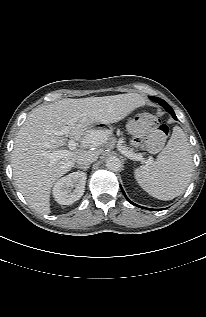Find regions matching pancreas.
<instances>
[{
	"label": "pancreas",
	"mask_w": 206,
	"mask_h": 317,
	"mask_svg": "<svg viewBox=\"0 0 206 317\" xmlns=\"http://www.w3.org/2000/svg\"><path fill=\"white\" fill-rule=\"evenodd\" d=\"M121 140H126V135H121ZM125 149H129L133 154H139V149L134 148L131 144H125Z\"/></svg>",
	"instance_id": "1"
}]
</instances>
